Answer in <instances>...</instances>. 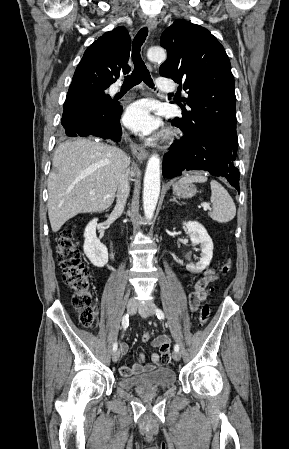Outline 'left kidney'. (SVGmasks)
Here are the masks:
<instances>
[{"mask_svg": "<svg viewBox=\"0 0 289 449\" xmlns=\"http://www.w3.org/2000/svg\"><path fill=\"white\" fill-rule=\"evenodd\" d=\"M188 229V235L193 244H200L201 258L196 264H187L186 269L190 272L199 273L209 266L213 257V242L202 224L196 221L184 222Z\"/></svg>", "mask_w": 289, "mask_h": 449, "instance_id": "1", "label": "left kidney"}]
</instances>
